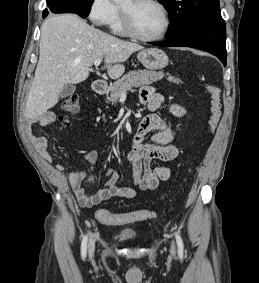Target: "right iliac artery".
<instances>
[{
    "label": "right iliac artery",
    "mask_w": 259,
    "mask_h": 283,
    "mask_svg": "<svg viewBox=\"0 0 259 283\" xmlns=\"http://www.w3.org/2000/svg\"><path fill=\"white\" fill-rule=\"evenodd\" d=\"M87 240H88V236L85 235L81 243V256L83 259H85L87 254Z\"/></svg>",
    "instance_id": "obj_1"
}]
</instances>
